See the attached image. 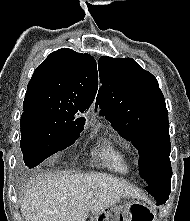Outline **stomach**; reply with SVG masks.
<instances>
[{
  "label": "stomach",
  "instance_id": "obj_1",
  "mask_svg": "<svg viewBox=\"0 0 190 221\" xmlns=\"http://www.w3.org/2000/svg\"><path fill=\"white\" fill-rule=\"evenodd\" d=\"M119 205L108 207L94 216L92 221H154L153 208L147 200H119Z\"/></svg>",
  "mask_w": 190,
  "mask_h": 221
}]
</instances>
